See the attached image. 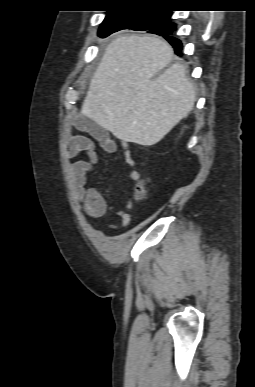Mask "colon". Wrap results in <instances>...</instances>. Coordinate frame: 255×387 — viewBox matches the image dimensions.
<instances>
[{"mask_svg":"<svg viewBox=\"0 0 255 387\" xmlns=\"http://www.w3.org/2000/svg\"><path fill=\"white\" fill-rule=\"evenodd\" d=\"M147 186L145 181H141L137 184L134 192V197L137 201H142L147 196Z\"/></svg>","mask_w":255,"mask_h":387,"instance_id":"colon-1","label":"colon"}]
</instances>
